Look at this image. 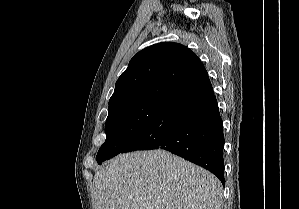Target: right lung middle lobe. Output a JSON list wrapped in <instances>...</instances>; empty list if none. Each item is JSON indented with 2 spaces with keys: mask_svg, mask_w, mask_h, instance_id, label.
Returning <instances> with one entry per match:
<instances>
[{
  "mask_svg": "<svg viewBox=\"0 0 299 209\" xmlns=\"http://www.w3.org/2000/svg\"><path fill=\"white\" fill-rule=\"evenodd\" d=\"M161 104L144 101L109 109L106 140L96 157L98 164L119 154L142 131Z\"/></svg>",
  "mask_w": 299,
  "mask_h": 209,
  "instance_id": "dd1d6c3e",
  "label": "right lung middle lobe"
}]
</instances>
